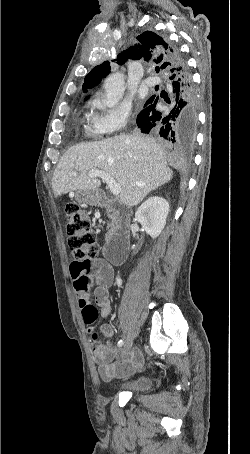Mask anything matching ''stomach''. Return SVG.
<instances>
[{"label": "stomach", "mask_w": 250, "mask_h": 454, "mask_svg": "<svg viewBox=\"0 0 250 454\" xmlns=\"http://www.w3.org/2000/svg\"><path fill=\"white\" fill-rule=\"evenodd\" d=\"M77 199L89 205H97L100 202V195L97 190H83L78 191Z\"/></svg>", "instance_id": "0dacf381"}]
</instances>
